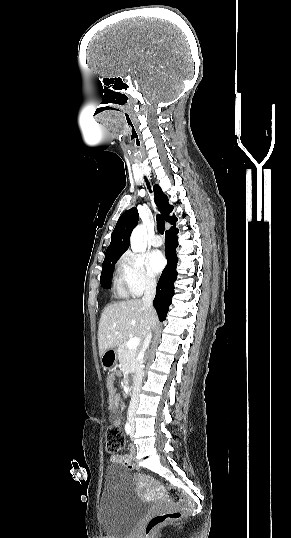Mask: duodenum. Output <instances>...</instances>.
Segmentation results:
<instances>
[{
    "mask_svg": "<svg viewBox=\"0 0 291 538\" xmlns=\"http://www.w3.org/2000/svg\"><path fill=\"white\" fill-rule=\"evenodd\" d=\"M108 354L113 358L115 357V352L113 350H110ZM123 377L124 378H123L122 386L125 389L124 394L125 396L130 397L133 394V388L135 387V382L133 381V378L130 376L128 372H125L123 374Z\"/></svg>",
    "mask_w": 291,
    "mask_h": 538,
    "instance_id": "410a0bca",
    "label": "duodenum"
}]
</instances>
